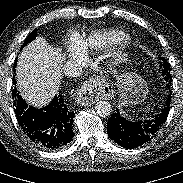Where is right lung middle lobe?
<instances>
[{"label":"right lung middle lobe","mask_w":183,"mask_h":183,"mask_svg":"<svg viewBox=\"0 0 183 183\" xmlns=\"http://www.w3.org/2000/svg\"><path fill=\"white\" fill-rule=\"evenodd\" d=\"M37 36V29H35L28 37L27 39L24 41L23 45L21 48H24L25 45H27L28 43H30L32 40H34Z\"/></svg>","instance_id":"right-lung-middle-lobe-1"}]
</instances>
